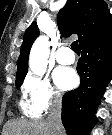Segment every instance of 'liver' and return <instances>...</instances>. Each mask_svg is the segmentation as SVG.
I'll list each match as a JSON object with an SVG mask.
<instances>
[{"mask_svg":"<svg viewBox=\"0 0 112 135\" xmlns=\"http://www.w3.org/2000/svg\"><path fill=\"white\" fill-rule=\"evenodd\" d=\"M3 135H53V130L47 120H13L6 123Z\"/></svg>","mask_w":112,"mask_h":135,"instance_id":"obj_1","label":"liver"}]
</instances>
